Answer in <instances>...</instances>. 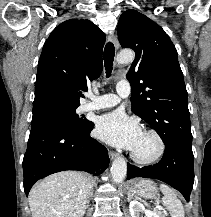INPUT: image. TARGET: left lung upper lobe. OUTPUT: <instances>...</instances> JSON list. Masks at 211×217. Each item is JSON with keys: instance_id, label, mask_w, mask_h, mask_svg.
I'll use <instances>...</instances> for the list:
<instances>
[{"instance_id": "1", "label": "left lung upper lobe", "mask_w": 211, "mask_h": 217, "mask_svg": "<svg viewBox=\"0 0 211 217\" xmlns=\"http://www.w3.org/2000/svg\"><path fill=\"white\" fill-rule=\"evenodd\" d=\"M118 32L121 46L136 54L126 75L132 88V112L145 120L163 142L192 144L187 91L169 36L136 10L121 14Z\"/></svg>"}]
</instances>
